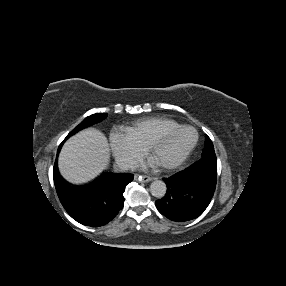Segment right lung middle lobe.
<instances>
[{"label": "right lung middle lobe", "mask_w": 286, "mask_h": 286, "mask_svg": "<svg viewBox=\"0 0 286 286\" xmlns=\"http://www.w3.org/2000/svg\"><path fill=\"white\" fill-rule=\"evenodd\" d=\"M107 117L106 113H98V114H93L91 116H88L87 118H85L77 127H75L66 138H68L69 136H71L72 134L76 133L77 131L90 126L96 122H99L101 120H103L104 118Z\"/></svg>", "instance_id": "1"}]
</instances>
